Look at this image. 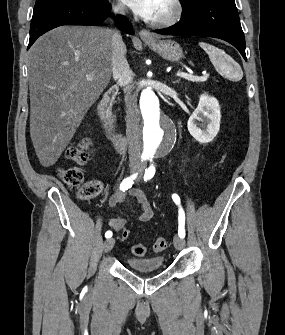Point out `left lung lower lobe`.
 <instances>
[{
	"label": "left lung lower lobe",
	"instance_id": "1",
	"mask_svg": "<svg viewBox=\"0 0 285 335\" xmlns=\"http://www.w3.org/2000/svg\"><path fill=\"white\" fill-rule=\"evenodd\" d=\"M182 7L183 14L178 23L156 32L162 35L223 39L235 46L247 60L244 33L234 0H196Z\"/></svg>",
	"mask_w": 285,
	"mask_h": 335
}]
</instances>
